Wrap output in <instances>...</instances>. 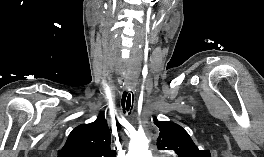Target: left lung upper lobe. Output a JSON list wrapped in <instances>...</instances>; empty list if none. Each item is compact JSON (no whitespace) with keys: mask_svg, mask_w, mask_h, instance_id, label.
<instances>
[{"mask_svg":"<svg viewBox=\"0 0 264 157\" xmlns=\"http://www.w3.org/2000/svg\"><path fill=\"white\" fill-rule=\"evenodd\" d=\"M160 129L157 140L159 150H173L178 157H211L209 150H199L188 133L178 124L155 120Z\"/></svg>","mask_w":264,"mask_h":157,"instance_id":"obj_1","label":"left lung upper lobe"}]
</instances>
